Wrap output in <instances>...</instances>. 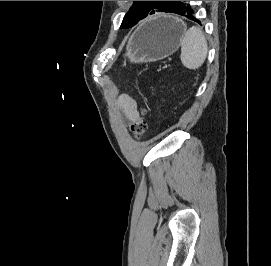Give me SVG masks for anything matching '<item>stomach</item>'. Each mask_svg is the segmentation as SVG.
Here are the masks:
<instances>
[{
	"label": "stomach",
	"mask_w": 271,
	"mask_h": 266,
	"mask_svg": "<svg viewBox=\"0 0 271 266\" xmlns=\"http://www.w3.org/2000/svg\"><path fill=\"white\" fill-rule=\"evenodd\" d=\"M185 33L184 23L176 17L160 15L141 25L130 37L126 57L131 63L161 60L173 54Z\"/></svg>",
	"instance_id": "0dacf381"
}]
</instances>
